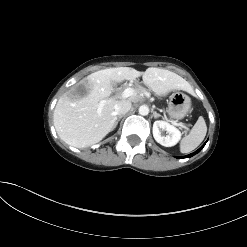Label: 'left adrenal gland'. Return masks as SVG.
I'll return each mask as SVG.
<instances>
[{
  "label": "left adrenal gland",
  "mask_w": 247,
  "mask_h": 247,
  "mask_svg": "<svg viewBox=\"0 0 247 247\" xmlns=\"http://www.w3.org/2000/svg\"><path fill=\"white\" fill-rule=\"evenodd\" d=\"M153 112V117L154 118H158V117H162L160 114H158L157 112L155 111H152Z\"/></svg>",
  "instance_id": "left-adrenal-gland-1"
}]
</instances>
